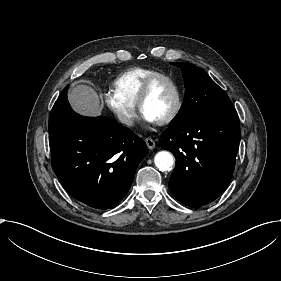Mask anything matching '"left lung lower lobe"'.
Masks as SVG:
<instances>
[{
	"label": "left lung lower lobe",
	"instance_id": "1",
	"mask_svg": "<svg viewBox=\"0 0 281 281\" xmlns=\"http://www.w3.org/2000/svg\"><path fill=\"white\" fill-rule=\"evenodd\" d=\"M239 141L235 109L169 126L160 145L176 158L169 181L176 199L194 208L215 200L231 180Z\"/></svg>",
	"mask_w": 281,
	"mask_h": 281
}]
</instances>
